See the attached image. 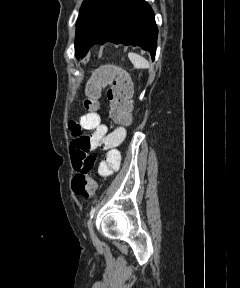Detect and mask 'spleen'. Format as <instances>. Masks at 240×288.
Returning <instances> with one entry per match:
<instances>
[{"mask_svg": "<svg viewBox=\"0 0 240 288\" xmlns=\"http://www.w3.org/2000/svg\"><path fill=\"white\" fill-rule=\"evenodd\" d=\"M128 57L130 61L133 63L135 68L137 69L149 68V62L144 57L133 52H130L128 54Z\"/></svg>", "mask_w": 240, "mask_h": 288, "instance_id": "obj_1", "label": "spleen"}]
</instances>
